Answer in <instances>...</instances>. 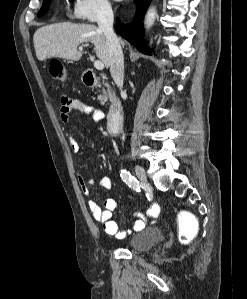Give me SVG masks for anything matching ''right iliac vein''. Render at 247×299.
<instances>
[{"label":"right iliac vein","mask_w":247,"mask_h":299,"mask_svg":"<svg viewBox=\"0 0 247 299\" xmlns=\"http://www.w3.org/2000/svg\"><path fill=\"white\" fill-rule=\"evenodd\" d=\"M135 173L144 186H148V180L145 170L140 165H135Z\"/></svg>","instance_id":"right-iliac-vein-1"}]
</instances>
